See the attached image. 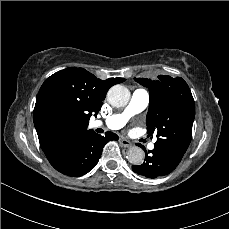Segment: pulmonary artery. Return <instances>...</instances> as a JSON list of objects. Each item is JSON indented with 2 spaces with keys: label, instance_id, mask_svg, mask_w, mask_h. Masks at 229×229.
<instances>
[{
  "label": "pulmonary artery",
  "instance_id": "1",
  "mask_svg": "<svg viewBox=\"0 0 229 229\" xmlns=\"http://www.w3.org/2000/svg\"><path fill=\"white\" fill-rule=\"evenodd\" d=\"M149 104V94L145 89H137L131 95L130 101L122 113L113 114L105 121H94L92 128L105 127L109 130H118L122 128L128 119L142 112ZM150 149L154 147L151 143L148 146Z\"/></svg>",
  "mask_w": 229,
  "mask_h": 229
}]
</instances>
